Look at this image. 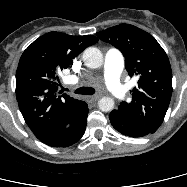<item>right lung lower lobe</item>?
Listing matches in <instances>:
<instances>
[{"label":"right lung lower lobe","instance_id":"98d812e1","mask_svg":"<svg viewBox=\"0 0 187 187\" xmlns=\"http://www.w3.org/2000/svg\"><path fill=\"white\" fill-rule=\"evenodd\" d=\"M88 105L84 103L69 123L43 143L51 147H68L83 136L86 128Z\"/></svg>","mask_w":187,"mask_h":187}]
</instances>
